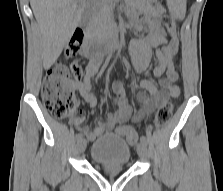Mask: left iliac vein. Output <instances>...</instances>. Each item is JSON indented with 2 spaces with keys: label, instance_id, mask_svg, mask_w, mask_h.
<instances>
[{
  "label": "left iliac vein",
  "instance_id": "1",
  "mask_svg": "<svg viewBox=\"0 0 223 191\" xmlns=\"http://www.w3.org/2000/svg\"><path fill=\"white\" fill-rule=\"evenodd\" d=\"M137 154H138L139 158L142 159V160H144L146 158V155H147L146 144L140 142L137 145Z\"/></svg>",
  "mask_w": 223,
  "mask_h": 191
}]
</instances>
